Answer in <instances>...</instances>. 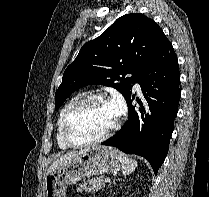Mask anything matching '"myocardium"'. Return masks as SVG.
<instances>
[{
  "mask_svg": "<svg viewBox=\"0 0 209 197\" xmlns=\"http://www.w3.org/2000/svg\"><path fill=\"white\" fill-rule=\"evenodd\" d=\"M96 102H108V98L101 94H91L80 99L65 115L62 123V138L64 142L70 147H84L93 144H97L110 137L119 127V119H116L114 124L103 134L98 137L78 141L72 138L70 134V125L74 116L81 111L84 107L96 103Z\"/></svg>",
  "mask_w": 209,
  "mask_h": 197,
  "instance_id": "f54148a6",
  "label": "myocardium"
}]
</instances>
